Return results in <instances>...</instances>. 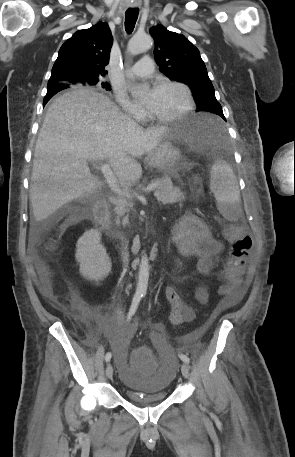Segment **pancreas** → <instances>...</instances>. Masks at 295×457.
<instances>
[{
	"instance_id": "1",
	"label": "pancreas",
	"mask_w": 295,
	"mask_h": 457,
	"mask_svg": "<svg viewBox=\"0 0 295 457\" xmlns=\"http://www.w3.org/2000/svg\"><path fill=\"white\" fill-rule=\"evenodd\" d=\"M157 186L155 188V196L159 202L163 204L176 203L185 199L184 193L176 187H173L172 182L169 178L156 179L153 181ZM125 203H122L124 206ZM120 213H124L125 208H120ZM118 223V220H116Z\"/></svg>"
}]
</instances>
